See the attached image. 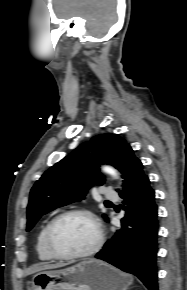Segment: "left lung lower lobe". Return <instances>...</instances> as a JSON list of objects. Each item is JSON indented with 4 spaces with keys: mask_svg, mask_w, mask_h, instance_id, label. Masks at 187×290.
Listing matches in <instances>:
<instances>
[{
    "mask_svg": "<svg viewBox=\"0 0 187 290\" xmlns=\"http://www.w3.org/2000/svg\"><path fill=\"white\" fill-rule=\"evenodd\" d=\"M120 196L127 205L123 228L95 257L137 276L149 290H158V207L148 177L142 175Z\"/></svg>",
    "mask_w": 187,
    "mask_h": 290,
    "instance_id": "0a47b994",
    "label": "left lung lower lobe"
}]
</instances>
